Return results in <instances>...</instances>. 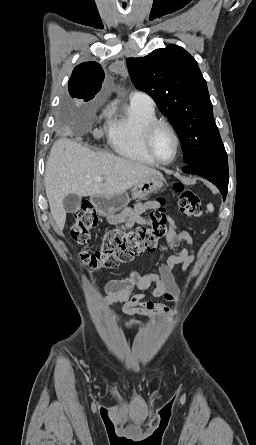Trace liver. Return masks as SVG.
Returning <instances> with one entry per match:
<instances>
[{
    "mask_svg": "<svg viewBox=\"0 0 256 445\" xmlns=\"http://www.w3.org/2000/svg\"><path fill=\"white\" fill-rule=\"evenodd\" d=\"M152 175L161 173L113 154L94 152L69 138L57 140L45 169L46 195L57 227L64 228L63 200L68 194L79 197L122 194ZM96 177H102L104 182H96Z\"/></svg>",
    "mask_w": 256,
    "mask_h": 445,
    "instance_id": "obj_1",
    "label": "liver"
}]
</instances>
